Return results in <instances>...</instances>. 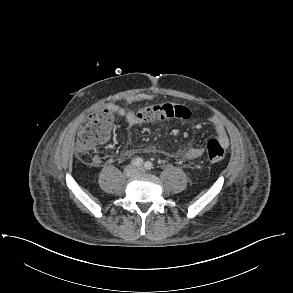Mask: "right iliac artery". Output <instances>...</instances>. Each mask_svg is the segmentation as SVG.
<instances>
[{"label":"right iliac artery","mask_w":293,"mask_h":293,"mask_svg":"<svg viewBox=\"0 0 293 293\" xmlns=\"http://www.w3.org/2000/svg\"><path fill=\"white\" fill-rule=\"evenodd\" d=\"M143 159L138 157V158H135L134 160H132V164L134 166H141L143 164Z\"/></svg>","instance_id":"obj_1"}]
</instances>
